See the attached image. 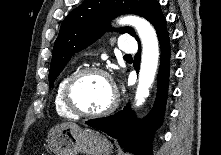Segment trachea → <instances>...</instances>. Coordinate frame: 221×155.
I'll use <instances>...</instances> for the list:
<instances>
[{
  "label": "trachea",
  "mask_w": 221,
  "mask_h": 155,
  "mask_svg": "<svg viewBox=\"0 0 221 155\" xmlns=\"http://www.w3.org/2000/svg\"><path fill=\"white\" fill-rule=\"evenodd\" d=\"M124 57L125 58H131L132 56L131 55H125Z\"/></svg>",
  "instance_id": "trachea-1"
}]
</instances>
